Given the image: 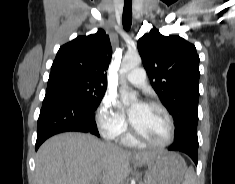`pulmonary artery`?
I'll use <instances>...</instances> for the list:
<instances>
[{
	"label": "pulmonary artery",
	"instance_id": "1",
	"mask_svg": "<svg viewBox=\"0 0 235 184\" xmlns=\"http://www.w3.org/2000/svg\"><path fill=\"white\" fill-rule=\"evenodd\" d=\"M147 74L144 69L138 68L128 72L125 80L133 86L142 87L146 82Z\"/></svg>",
	"mask_w": 235,
	"mask_h": 184
}]
</instances>
